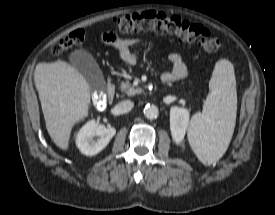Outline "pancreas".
<instances>
[{
	"label": "pancreas",
	"mask_w": 275,
	"mask_h": 215,
	"mask_svg": "<svg viewBox=\"0 0 275 215\" xmlns=\"http://www.w3.org/2000/svg\"><path fill=\"white\" fill-rule=\"evenodd\" d=\"M120 88L121 91L127 94L128 96H132L142 92L140 88H136L134 85H131L128 80L122 82Z\"/></svg>",
	"instance_id": "obj_1"
}]
</instances>
